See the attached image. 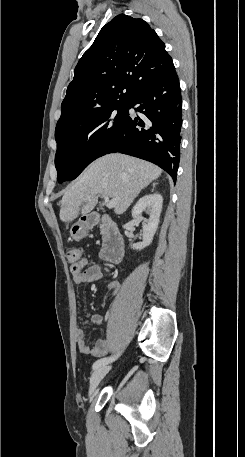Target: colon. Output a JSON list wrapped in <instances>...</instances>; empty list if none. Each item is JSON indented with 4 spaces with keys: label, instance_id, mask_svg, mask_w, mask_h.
<instances>
[{
    "label": "colon",
    "instance_id": "colon-1",
    "mask_svg": "<svg viewBox=\"0 0 245 457\" xmlns=\"http://www.w3.org/2000/svg\"><path fill=\"white\" fill-rule=\"evenodd\" d=\"M68 260L72 264L73 269L81 270L84 265V260L82 258V251L79 248H71L68 251Z\"/></svg>",
    "mask_w": 245,
    "mask_h": 457
}]
</instances>
